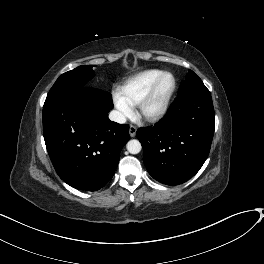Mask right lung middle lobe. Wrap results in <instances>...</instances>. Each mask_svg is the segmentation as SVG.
<instances>
[{"mask_svg": "<svg viewBox=\"0 0 264 264\" xmlns=\"http://www.w3.org/2000/svg\"><path fill=\"white\" fill-rule=\"evenodd\" d=\"M93 65H82L62 74L50 89L44 105L56 102L68 94L81 89L94 73Z\"/></svg>", "mask_w": 264, "mask_h": 264, "instance_id": "obj_1", "label": "right lung middle lobe"}]
</instances>
